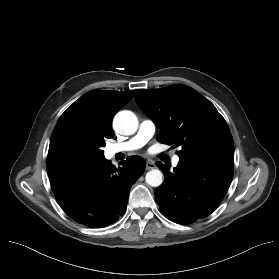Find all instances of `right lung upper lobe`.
<instances>
[{
	"label": "right lung upper lobe",
	"instance_id": "obj_1",
	"mask_svg": "<svg viewBox=\"0 0 279 279\" xmlns=\"http://www.w3.org/2000/svg\"><path fill=\"white\" fill-rule=\"evenodd\" d=\"M131 98V91L95 90L84 94L58 119L50 144L58 135L68 130L81 131L97 141L112 138L114 132L111 128V120Z\"/></svg>",
	"mask_w": 279,
	"mask_h": 279
}]
</instances>
